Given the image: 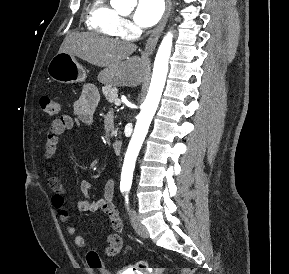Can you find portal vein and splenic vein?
Wrapping results in <instances>:
<instances>
[{
  "instance_id": "1",
  "label": "portal vein and splenic vein",
  "mask_w": 289,
  "mask_h": 274,
  "mask_svg": "<svg viewBox=\"0 0 289 274\" xmlns=\"http://www.w3.org/2000/svg\"><path fill=\"white\" fill-rule=\"evenodd\" d=\"M120 104H121L120 99L115 100V105H120Z\"/></svg>"
}]
</instances>
